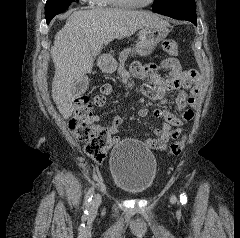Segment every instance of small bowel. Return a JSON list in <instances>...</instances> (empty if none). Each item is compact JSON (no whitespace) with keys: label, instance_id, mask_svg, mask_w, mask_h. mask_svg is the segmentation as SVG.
<instances>
[{"label":"small bowel","instance_id":"obj_1","mask_svg":"<svg viewBox=\"0 0 240 238\" xmlns=\"http://www.w3.org/2000/svg\"><path fill=\"white\" fill-rule=\"evenodd\" d=\"M159 71L168 72L169 77L163 78L159 75ZM132 73L134 75L145 74L149 76L150 82L145 84L138 92L162 104L167 103L165 99L166 92L182 89L174 103L175 110L181 113L180 117L166 109H155L153 111L154 117H162L164 121L159 128L155 129L156 138L146 139L145 144L154 151H163L166 149L170 139L174 138V135H180V128L184 123L193 118L194 112L192 107L196 104L197 96L200 92V77L195 70L183 71L179 61L174 58H168L158 65L151 64L145 67L135 62L132 65ZM112 90L111 84L102 85L99 93L93 98L94 105L97 107L104 106ZM138 114L140 117H146L148 109L141 108ZM99 120L100 117L98 115L88 117V121L91 124ZM121 124L122 118L120 116H115L109 121L107 127L109 136L108 146L119 141L117 133ZM174 127L176 129H173Z\"/></svg>","mask_w":240,"mask_h":238}]
</instances>
